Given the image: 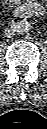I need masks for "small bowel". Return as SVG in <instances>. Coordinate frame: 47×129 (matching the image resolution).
Listing matches in <instances>:
<instances>
[{
    "label": "small bowel",
    "mask_w": 47,
    "mask_h": 129,
    "mask_svg": "<svg viewBox=\"0 0 47 129\" xmlns=\"http://www.w3.org/2000/svg\"><path fill=\"white\" fill-rule=\"evenodd\" d=\"M7 1L9 4H16L18 2V0H5Z\"/></svg>",
    "instance_id": "c3829d8e"
}]
</instances>
